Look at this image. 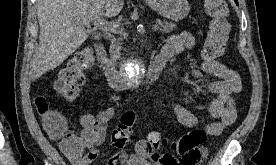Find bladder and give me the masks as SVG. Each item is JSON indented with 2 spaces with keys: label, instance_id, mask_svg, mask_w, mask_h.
I'll return each mask as SVG.
<instances>
[{
  "label": "bladder",
  "instance_id": "obj_1",
  "mask_svg": "<svg viewBox=\"0 0 276 165\" xmlns=\"http://www.w3.org/2000/svg\"><path fill=\"white\" fill-rule=\"evenodd\" d=\"M128 165H151V164L149 162L145 161V160H141L139 158H136L132 163H130Z\"/></svg>",
  "mask_w": 276,
  "mask_h": 165
}]
</instances>
